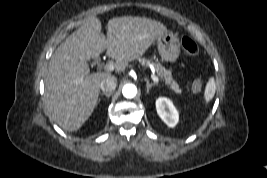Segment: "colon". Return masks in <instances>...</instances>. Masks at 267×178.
<instances>
[{"label":"colon","instance_id":"1","mask_svg":"<svg viewBox=\"0 0 267 178\" xmlns=\"http://www.w3.org/2000/svg\"><path fill=\"white\" fill-rule=\"evenodd\" d=\"M182 47L188 55H196L198 53L197 44L189 37H183L181 40ZM194 90H199L201 88V82L195 80L192 85Z\"/></svg>","mask_w":267,"mask_h":178}]
</instances>
